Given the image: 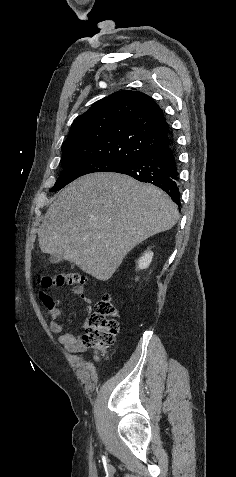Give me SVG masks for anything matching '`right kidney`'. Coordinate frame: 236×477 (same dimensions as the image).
Listing matches in <instances>:
<instances>
[{
    "instance_id": "obj_1",
    "label": "right kidney",
    "mask_w": 236,
    "mask_h": 477,
    "mask_svg": "<svg viewBox=\"0 0 236 477\" xmlns=\"http://www.w3.org/2000/svg\"><path fill=\"white\" fill-rule=\"evenodd\" d=\"M153 257V252L148 251L145 252L140 259L138 260V268L139 269H146L150 265Z\"/></svg>"
}]
</instances>
